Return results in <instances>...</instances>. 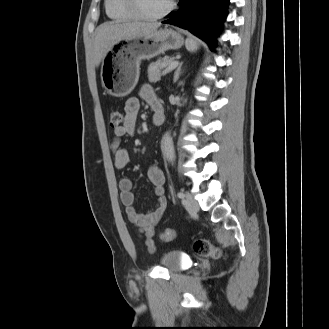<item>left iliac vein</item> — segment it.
Instances as JSON below:
<instances>
[{
  "label": "left iliac vein",
  "mask_w": 329,
  "mask_h": 329,
  "mask_svg": "<svg viewBox=\"0 0 329 329\" xmlns=\"http://www.w3.org/2000/svg\"><path fill=\"white\" fill-rule=\"evenodd\" d=\"M186 210L190 213H196L199 211V204L198 202L190 195L186 194V199L184 200Z\"/></svg>",
  "instance_id": "1"
}]
</instances>
